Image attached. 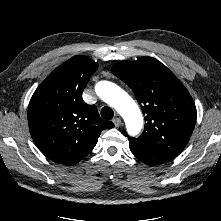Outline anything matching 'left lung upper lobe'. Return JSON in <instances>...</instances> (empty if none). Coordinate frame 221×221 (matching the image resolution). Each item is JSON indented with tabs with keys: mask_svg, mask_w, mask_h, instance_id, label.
Returning <instances> with one entry per match:
<instances>
[{
	"mask_svg": "<svg viewBox=\"0 0 221 221\" xmlns=\"http://www.w3.org/2000/svg\"><path fill=\"white\" fill-rule=\"evenodd\" d=\"M111 71L132 90L145 115L136 138L152 149L176 157L184 149L196 122V107L182 83L160 61L144 56L115 64ZM123 134L127 136L124 131Z\"/></svg>",
	"mask_w": 221,
	"mask_h": 221,
	"instance_id": "obj_1",
	"label": "left lung upper lobe"
}]
</instances>
